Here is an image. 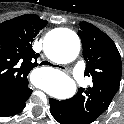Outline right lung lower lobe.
Segmentation results:
<instances>
[{
	"instance_id": "1",
	"label": "right lung lower lobe",
	"mask_w": 124,
	"mask_h": 124,
	"mask_svg": "<svg viewBox=\"0 0 124 124\" xmlns=\"http://www.w3.org/2000/svg\"><path fill=\"white\" fill-rule=\"evenodd\" d=\"M32 91L19 100L8 101L0 104V117L12 116L20 112L26 106L25 102Z\"/></svg>"
}]
</instances>
